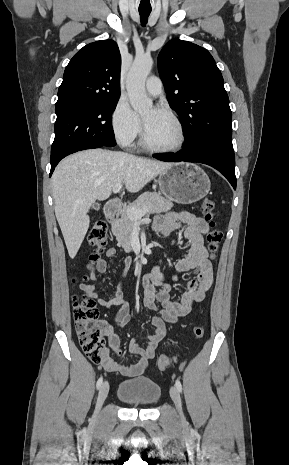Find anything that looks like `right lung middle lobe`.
<instances>
[{
	"label": "right lung middle lobe",
	"instance_id": "dd1d6c3e",
	"mask_svg": "<svg viewBox=\"0 0 289 465\" xmlns=\"http://www.w3.org/2000/svg\"><path fill=\"white\" fill-rule=\"evenodd\" d=\"M117 99L56 106L55 139L51 162L63 158L79 146L98 141L115 146L111 114Z\"/></svg>",
	"mask_w": 289,
	"mask_h": 465
}]
</instances>
